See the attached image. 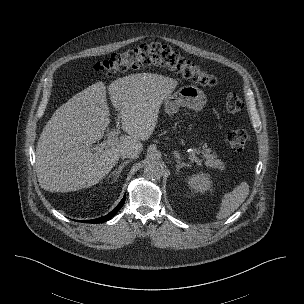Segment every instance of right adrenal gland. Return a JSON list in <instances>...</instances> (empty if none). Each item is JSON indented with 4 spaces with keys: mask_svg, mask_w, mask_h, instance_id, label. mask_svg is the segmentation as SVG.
I'll use <instances>...</instances> for the list:
<instances>
[{
    "mask_svg": "<svg viewBox=\"0 0 304 304\" xmlns=\"http://www.w3.org/2000/svg\"><path fill=\"white\" fill-rule=\"evenodd\" d=\"M130 163V160L124 161L122 162L119 167L117 169H115L111 174L115 175V180H117V178H119L122 169L128 164Z\"/></svg>",
    "mask_w": 304,
    "mask_h": 304,
    "instance_id": "1",
    "label": "right adrenal gland"
}]
</instances>
